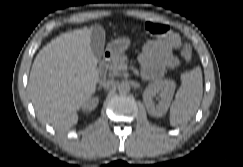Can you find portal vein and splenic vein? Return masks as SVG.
Masks as SVG:
<instances>
[{"label":"portal vein and splenic vein","mask_w":243,"mask_h":167,"mask_svg":"<svg viewBox=\"0 0 243 167\" xmlns=\"http://www.w3.org/2000/svg\"><path fill=\"white\" fill-rule=\"evenodd\" d=\"M123 69H127V65L123 67Z\"/></svg>","instance_id":"1"}]
</instances>
